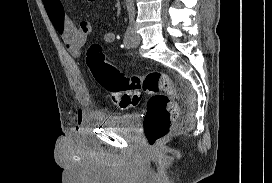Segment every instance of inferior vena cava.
I'll return each mask as SVG.
<instances>
[{"label":"inferior vena cava","mask_w":272,"mask_h":183,"mask_svg":"<svg viewBox=\"0 0 272 183\" xmlns=\"http://www.w3.org/2000/svg\"><path fill=\"white\" fill-rule=\"evenodd\" d=\"M127 9H128L130 23H132L134 21V16H135L133 0H127Z\"/></svg>","instance_id":"inferior-vena-cava-1"}]
</instances>
